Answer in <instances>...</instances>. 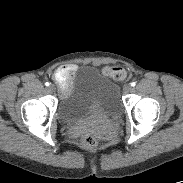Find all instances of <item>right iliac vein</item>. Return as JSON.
Listing matches in <instances>:
<instances>
[{
    "label": "right iliac vein",
    "mask_w": 183,
    "mask_h": 183,
    "mask_svg": "<svg viewBox=\"0 0 183 183\" xmlns=\"http://www.w3.org/2000/svg\"><path fill=\"white\" fill-rule=\"evenodd\" d=\"M48 90H49L50 92H54V91H55V86H54V85H50V86L48 87Z\"/></svg>",
    "instance_id": "obj_1"
}]
</instances>
